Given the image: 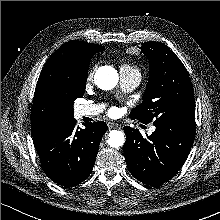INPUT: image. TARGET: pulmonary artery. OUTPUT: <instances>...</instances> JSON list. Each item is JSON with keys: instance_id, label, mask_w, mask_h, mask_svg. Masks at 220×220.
Instances as JSON below:
<instances>
[{"instance_id": "pulmonary-artery-1", "label": "pulmonary artery", "mask_w": 220, "mask_h": 220, "mask_svg": "<svg viewBox=\"0 0 220 220\" xmlns=\"http://www.w3.org/2000/svg\"><path fill=\"white\" fill-rule=\"evenodd\" d=\"M121 87L124 91L130 92L135 89L141 80V75L135 70L121 69L120 71ZM102 111L101 105H84L79 107L78 113L80 116H95ZM155 128H150V132H153Z\"/></svg>"}]
</instances>
